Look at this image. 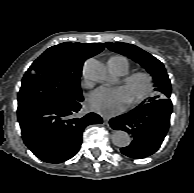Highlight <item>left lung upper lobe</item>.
Wrapping results in <instances>:
<instances>
[{"mask_svg": "<svg viewBox=\"0 0 194 193\" xmlns=\"http://www.w3.org/2000/svg\"><path fill=\"white\" fill-rule=\"evenodd\" d=\"M106 46L117 53L128 56L132 60L140 63L152 75L156 96L150 98L148 102H143L139 106L159 99L170 98L171 84L167 72L162 62L141 48L127 43L107 42Z\"/></svg>", "mask_w": 194, "mask_h": 193, "instance_id": "5c2ea615", "label": "left lung upper lobe"}]
</instances>
